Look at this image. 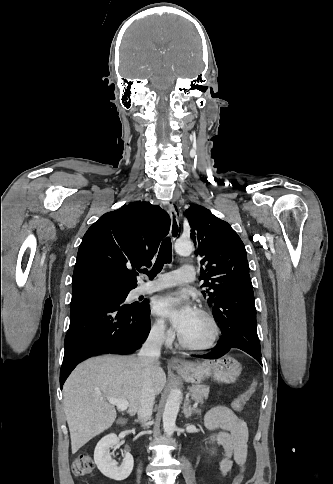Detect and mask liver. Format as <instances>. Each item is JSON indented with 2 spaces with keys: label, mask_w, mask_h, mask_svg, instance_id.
<instances>
[{
  "label": "liver",
  "mask_w": 333,
  "mask_h": 484,
  "mask_svg": "<svg viewBox=\"0 0 333 484\" xmlns=\"http://www.w3.org/2000/svg\"><path fill=\"white\" fill-rule=\"evenodd\" d=\"M145 368L134 356H100L80 364L63 387V403L68 423L72 453L113 424L117 413L107 397L126 399L128 413L138 411L144 385ZM155 394L166 384L159 361L149 370Z\"/></svg>",
  "instance_id": "liver-1"
}]
</instances>
